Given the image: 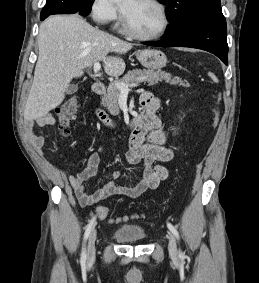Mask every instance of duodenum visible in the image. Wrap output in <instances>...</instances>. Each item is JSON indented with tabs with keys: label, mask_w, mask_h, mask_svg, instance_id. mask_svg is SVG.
<instances>
[{
	"label": "duodenum",
	"mask_w": 259,
	"mask_h": 283,
	"mask_svg": "<svg viewBox=\"0 0 259 283\" xmlns=\"http://www.w3.org/2000/svg\"><path fill=\"white\" fill-rule=\"evenodd\" d=\"M93 92L97 95H103L106 91V87L102 82H95L92 86ZM141 105L144 111L135 119L132 120L128 127V131L135 133L146 124L148 115L155 112V109L151 108L148 101H141ZM98 116L104 121H108L106 115L102 111H98Z\"/></svg>",
	"instance_id": "obj_1"
}]
</instances>
